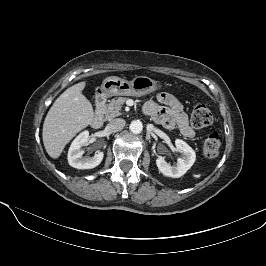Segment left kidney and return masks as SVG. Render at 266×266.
Segmentation results:
<instances>
[{"label": "left kidney", "instance_id": "1", "mask_svg": "<svg viewBox=\"0 0 266 266\" xmlns=\"http://www.w3.org/2000/svg\"><path fill=\"white\" fill-rule=\"evenodd\" d=\"M176 148L182 153V157L177 159L175 165H170L164 157L156 159V165L159 171L168 177L179 178L184 175L194 164L196 160L195 151L183 140H175Z\"/></svg>", "mask_w": 266, "mask_h": 266}]
</instances>
